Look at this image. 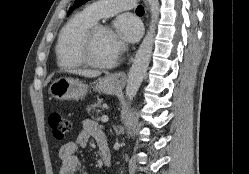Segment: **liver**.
Segmentation results:
<instances>
[{
  "instance_id": "6515ba94",
  "label": "liver",
  "mask_w": 249,
  "mask_h": 174,
  "mask_svg": "<svg viewBox=\"0 0 249 174\" xmlns=\"http://www.w3.org/2000/svg\"><path fill=\"white\" fill-rule=\"evenodd\" d=\"M69 73L75 74V75H80L84 76L87 78H94L97 77L101 74L99 71L95 70H82V69H76V70H68Z\"/></svg>"
}]
</instances>
